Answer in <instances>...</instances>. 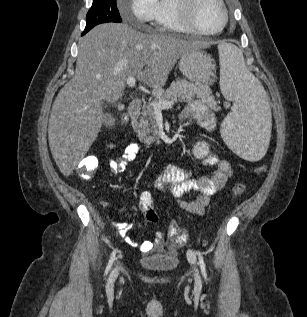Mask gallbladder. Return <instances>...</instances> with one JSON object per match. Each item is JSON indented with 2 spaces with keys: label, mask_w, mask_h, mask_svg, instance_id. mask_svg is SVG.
I'll list each match as a JSON object with an SVG mask.
<instances>
[{
  "label": "gallbladder",
  "mask_w": 307,
  "mask_h": 317,
  "mask_svg": "<svg viewBox=\"0 0 307 317\" xmlns=\"http://www.w3.org/2000/svg\"><path fill=\"white\" fill-rule=\"evenodd\" d=\"M104 125L106 127H110L114 124V117L113 115H111L110 113H105L104 114V121H103Z\"/></svg>",
  "instance_id": "obj_1"
}]
</instances>
